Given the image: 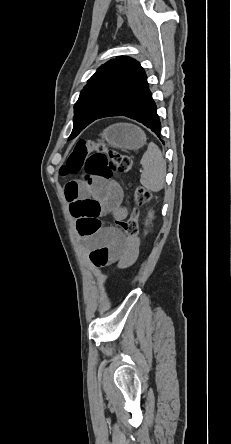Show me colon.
Returning a JSON list of instances; mask_svg holds the SVG:
<instances>
[{
  "mask_svg": "<svg viewBox=\"0 0 231 444\" xmlns=\"http://www.w3.org/2000/svg\"><path fill=\"white\" fill-rule=\"evenodd\" d=\"M132 159L118 150L108 149L104 142L79 141L70 153L67 162L61 167V175L84 174L83 183L92 184L96 179H109L114 173L128 174L132 170ZM135 206L130 216L119 224L129 241L137 238L139 231V210L151 199L145 187L134 189ZM99 205L93 200H81L72 207V215L77 220V229L84 237L94 235L100 229Z\"/></svg>",
  "mask_w": 231,
  "mask_h": 444,
  "instance_id": "5ec220e1",
  "label": "colon"
}]
</instances>
